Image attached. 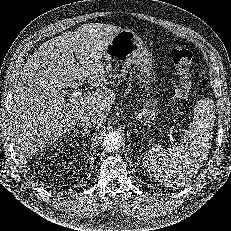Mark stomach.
Here are the masks:
<instances>
[{
  "mask_svg": "<svg viewBox=\"0 0 231 231\" xmlns=\"http://www.w3.org/2000/svg\"><path fill=\"white\" fill-rule=\"evenodd\" d=\"M103 56L105 69L112 78L124 77L132 65L138 68V80L140 84L147 86V97L143 99L140 114L144 118V126L149 129L158 112L157 100L149 94V87L154 83L153 61L149 49L135 32L124 29L107 44Z\"/></svg>",
  "mask_w": 231,
  "mask_h": 231,
  "instance_id": "obj_1",
  "label": "stomach"
}]
</instances>
